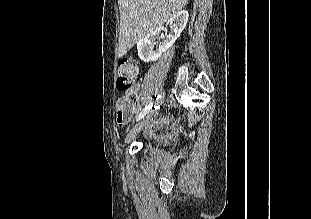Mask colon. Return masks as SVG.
Wrapping results in <instances>:
<instances>
[{"label":"colon","instance_id":"5ec220e1","mask_svg":"<svg viewBox=\"0 0 311 219\" xmlns=\"http://www.w3.org/2000/svg\"><path fill=\"white\" fill-rule=\"evenodd\" d=\"M139 72V65L133 58H122L117 63V88L124 94L120 99V103L125 108H128L135 101L133 84ZM127 113V109L122 111L124 116L127 115Z\"/></svg>","mask_w":311,"mask_h":219}]
</instances>
